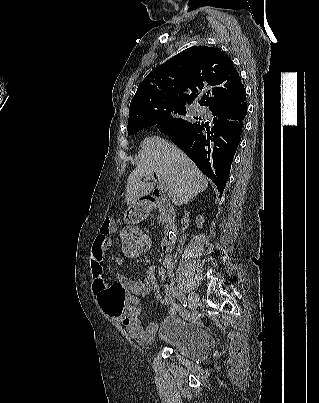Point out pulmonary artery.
Here are the masks:
<instances>
[{
    "label": "pulmonary artery",
    "mask_w": 319,
    "mask_h": 403,
    "mask_svg": "<svg viewBox=\"0 0 319 403\" xmlns=\"http://www.w3.org/2000/svg\"><path fill=\"white\" fill-rule=\"evenodd\" d=\"M198 112L201 114H206L207 109L205 107L200 106V107H198Z\"/></svg>",
    "instance_id": "1"
}]
</instances>
